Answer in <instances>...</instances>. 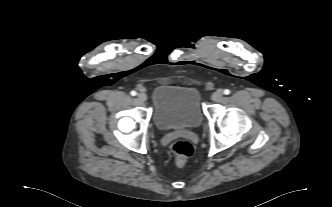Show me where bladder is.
Returning a JSON list of instances; mask_svg holds the SVG:
<instances>
[{"mask_svg": "<svg viewBox=\"0 0 332 207\" xmlns=\"http://www.w3.org/2000/svg\"><path fill=\"white\" fill-rule=\"evenodd\" d=\"M152 120L161 131L196 128L203 121L200 92L193 87L159 85L152 93Z\"/></svg>", "mask_w": 332, "mask_h": 207, "instance_id": "obj_1", "label": "bladder"}]
</instances>
